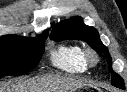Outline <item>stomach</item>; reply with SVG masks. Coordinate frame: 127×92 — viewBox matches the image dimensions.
<instances>
[{"mask_svg": "<svg viewBox=\"0 0 127 92\" xmlns=\"http://www.w3.org/2000/svg\"><path fill=\"white\" fill-rule=\"evenodd\" d=\"M77 90H78L77 92H85L84 90L87 91V90H89V88L84 87V86H81V87H79Z\"/></svg>", "mask_w": 127, "mask_h": 92, "instance_id": "obj_1", "label": "stomach"}]
</instances>
